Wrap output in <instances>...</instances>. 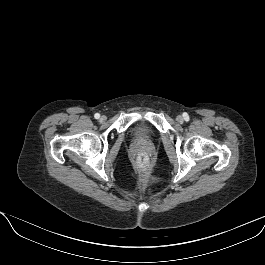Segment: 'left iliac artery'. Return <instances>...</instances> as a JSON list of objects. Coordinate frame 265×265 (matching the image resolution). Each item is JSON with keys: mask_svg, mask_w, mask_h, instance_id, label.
<instances>
[{"mask_svg": "<svg viewBox=\"0 0 265 265\" xmlns=\"http://www.w3.org/2000/svg\"><path fill=\"white\" fill-rule=\"evenodd\" d=\"M184 119H185L186 121L189 120V116H188V114H185V115H184Z\"/></svg>", "mask_w": 265, "mask_h": 265, "instance_id": "left-iliac-artery-1", "label": "left iliac artery"}]
</instances>
